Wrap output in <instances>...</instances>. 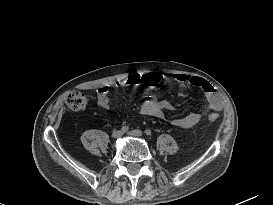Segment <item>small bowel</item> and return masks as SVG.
Segmentation results:
<instances>
[{"instance_id": "1", "label": "small bowel", "mask_w": 273, "mask_h": 205, "mask_svg": "<svg viewBox=\"0 0 273 205\" xmlns=\"http://www.w3.org/2000/svg\"><path fill=\"white\" fill-rule=\"evenodd\" d=\"M163 77L157 73H131L117 82H115L114 86H131V85H146V86H156L162 81ZM172 79L180 84V88L178 90L179 95L186 94L185 84H191L194 87L200 89L207 100L208 109L211 111H220L223 107V103L221 97L215 90V88L207 82L205 79L189 76L185 74H177L172 77ZM110 90L109 85H103L99 87L97 91V103L98 105L105 110L111 109L110 99L108 97V92ZM174 106L171 102L166 100H159L157 97L146 94L144 100L141 104L140 112L143 115L154 116L158 118L164 117L165 111H173ZM201 119V115L199 113H189L181 118H176L172 121L173 125L179 128H190L196 125Z\"/></svg>"}]
</instances>
